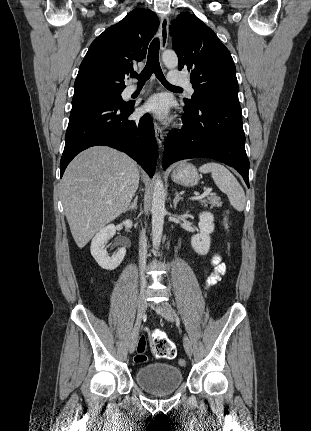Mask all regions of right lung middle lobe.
<instances>
[{
  "label": "right lung middle lobe",
  "instance_id": "dd1d6c3e",
  "mask_svg": "<svg viewBox=\"0 0 311 431\" xmlns=\"http://www.w3.org/2000/svg\"><path fill=\"white\" fill-rule=\"evenodd\" d=\"M121 92H91L73 96L72 106L91 102H107L118 105H127L121 97Z\"/></svg>",
  "mask_w": 311,
  "mask_h": 431
}]
</instances>
